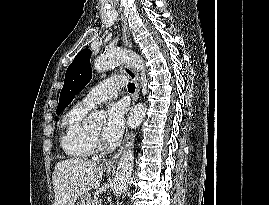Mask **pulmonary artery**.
Segmentation results:
<instances>
[{"mask_svg": "<svg viewBox=\"0 0 269 205\" xmlns=\"http://www.w3.org/2000/svg\"><path fill=\"white\" fill-rule=\"evenodd\" d=\"M126 83V77H112L106 79L92 88L78 105L89 110L100 102L115 97L118 89L123 87Z\"/></svg>", "mask_w": 269, "mask_h": 205, "instance_id": "e3ab8cb5", "label": "pulmonary artery"}]
</instances>
